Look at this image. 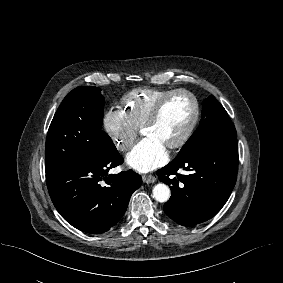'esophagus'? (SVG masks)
<instances>
[{
  "label": "esophagus",
  "mask_w": 283,
  "mask_h": 283,
  "mask_svg": "<svg viewBox=\"0 0 283 283\" xmlns=\"http://www.w3.org/2000/svg\"><path fill=\"white\" fill-rule=\"evenodd\" d=\"M142 179L143 182L147 184L154 183L156 181V178L153 175H143Z\"/></svg>",
  "instance_id": "1"
}]
</instances>
